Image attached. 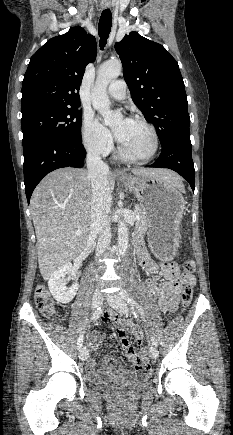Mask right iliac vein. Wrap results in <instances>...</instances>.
<instances>
[{
  "label": "right iliac vein",
  "mask_w": 233,
  "mask_h": 435,
  "mask_svg": "<svg viewBox=\"0 0 233 435\" xmlns=\"http://www.w3.org/2000/svg\"><path fill=\"white\" fill-rule=\"evenodd\" d=\"M103 301V296L100 292H95L92 296V306L93 308H97L102 304ZM88 350L86 349V347H82L79 351V358L81 360H87L88 358Z\"/></svg>",
  "instance_id": "63e3f726"
}]
</instances>
